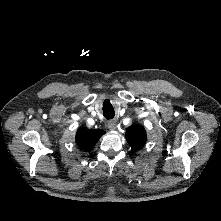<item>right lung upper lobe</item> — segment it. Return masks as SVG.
Returning a JSON list of instances; mask_svg holds the SVG:
<instances>
[{"label": "right lung upper lobe", "mask_w": 221, "mask_h": 221, "mask_svg": "<svg viewBox=\"0 0 221 221\" xmlns=\"http://www.w3.org/2000/svg\"><path fill=\"white\" fill-rule=\"evenodd\" d=\"M104 133L105 132L101 129H87L85 127H80L77 130L76 143L82 150L89 152Z\"/></svg>", "instance_id": "1"}]
</instances>
